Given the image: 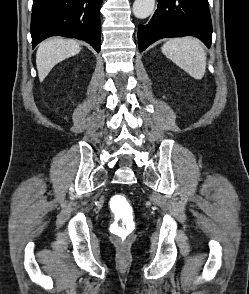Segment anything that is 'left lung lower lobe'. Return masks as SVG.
<instances>
[{
  "label": "left lung lower lobe",
  "instance_id": "left-lung-lower-lobe-1",
  "mask_svg": "<svg viewBox=\"0 0 249 294\" xmlns=\"http://www.w3.org/2000/svg\"><path fill=\"white\" fill-rule=\"evenodd\" d=\"M192 35L211 45L212 23L207 0H159L147 25L138 27V46L144 51L165 37Z\"/></svg>",
  "mask_w": 249,
  "mask_h": 294
}]
</instances>
